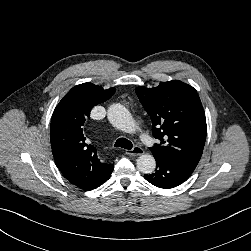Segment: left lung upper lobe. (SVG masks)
Listing matches in <instances>:
<instances>
[{
	"instance_id": "left-lung-upper-lobe-1",
	"label": "left lung upper lobe",
	"mask_w": 251,
	"mask_h": 251,
	"mask_svg": "<svg viewBox=\"0 0 251 251\" xmlns=\"http://www.w3.org/2000/svg\"><path fill=\"white\" fill-rule=\"evenodd\" d=\"M135 91L150 115L153 136L161 141L151 149L152 153L195 169L207 133L197 91L178 80L162 82L155 88L141 86Z\"/></svg>"
}]
</instances>
